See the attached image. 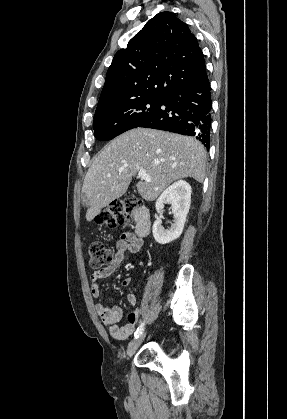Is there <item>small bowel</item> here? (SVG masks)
Listing matches in <instances>:
<instances>
[{"label":"small bowel","instance_id":"small-bowel-1","mask_svg":"<svg viewBox=\"0 0 287 419\" xmlns=\"http://www.w3.org/2000/svg\"><path fill=\"white\" fill-rule=\"evenodd\" d=\"M145 244V241L136 236L130 231H125L122 233L120 239L116 243V253L114 254L113 259L108 263V265L101 270L94 272L91 275V293L92 296L97 298L100 295L99 282L101 279L106 278L112 275L117 268L120 266L124 260L125 252H131L136 255L142 253V248ZM131 283V278L127 277L122 280L121 285L126 287ZM127 300L129 304L134 305L137 301V296L134 293L128 294ZM95 310L100 317L103 324L106 326L108 333L117 340H125L129 338L136 327V324L139 320L141 308H137L134 311L128 314V322L123 327H118L117 323L120 321L122 312L121 309L117 306H106L102 303H98L95 306Z\"/></svg>","mask_w":287,"mask_h":419}]
</instances>
